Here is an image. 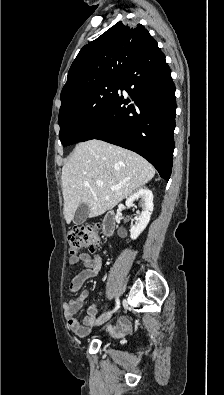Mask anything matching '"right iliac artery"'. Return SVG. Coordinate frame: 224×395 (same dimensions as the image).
<instances>
[{
    "instance_id": "82829eb1",
    "label": "right iliac artery",
    "mask_w": 224,
    "mask_h": 395,
    "mask_svg": "<svg viewBox=\"0 0 224 395\" xmlns=\"http://www.w3.org/2000/svg\"><path fill=\"white\" fill-rule=\"evenodd\" d=\"M119 307H120V301H119V299H118V297H117V298H116V306H115V308H114L112 311L108 312L107 314H111V313L117 311V310L119 309ZM103 315H104V314H103Z\"/></svg>"
}]
</instances>
